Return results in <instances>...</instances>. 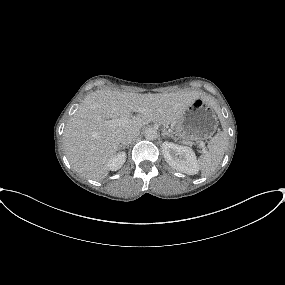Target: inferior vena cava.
<instances>
[{
	"instance_id": "obj_1",
	"label": "inferior vena cava",
	"mask_w": 285,
	"mask_h": 285,
	"mask_svg": "<svg viewBox=\"0 0 285 285\" xmlns=\"http://www.w3.org/2000/svg\"><path fill=\"white\" fill-rule=\"evenodd\" d=\"M139 133L134 132V131H125L119 136V141L123 145L130 144L137 136Z\"/></svg>"
}]
</instances>
